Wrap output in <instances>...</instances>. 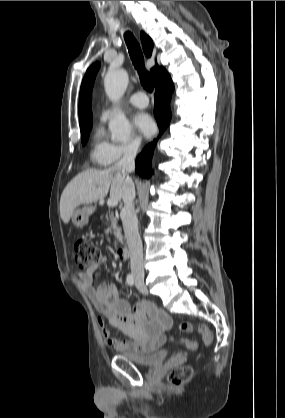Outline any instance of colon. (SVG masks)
I'll list each match as a JSON object with an SVG mask.
<instances>
[{
    "label": "colon",
    "instance_id": "colon-1",
    "mask_svg": "<svg viewBox=\"0 0 285 418\" xmlns=\"http://www.w3.org/2000/svg\"><path fill=\"white\" fill-rule=\"evenodd\" d=\"M75 258L80 267H87L100 258L99 252L95 245L86 238H79L75 242ZM178 330L183 333H192L193 327L188 322H181L178 325ZM197 332L201 335L202 341L206 346H209L212 342V333L210 329L201 325L198 327ZM171 340H175L174 336L170 337ZM186 344L189 340H182ZM192 376V368L190 366H183L172 370L169 374V380L171 384L175 386H181L188 382Z\"/></svg>",
    "mask_w": 285,
    "mask_h": 418
}]
</instances>
